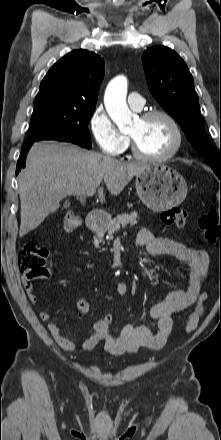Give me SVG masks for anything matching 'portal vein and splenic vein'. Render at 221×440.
Returning <instances> with one entry per match:
<instances>
[{"label":"portal vein and splenic vein","mask_w":221,"mask_h":440,"mask_svg":"<svg viewBox=\"0 0 221 440\" xmlns=\"http://www.w3.org/2000/svg\"><path fill=\"white\" fill-rule=\"evenodd\" d=\"M95 193V190L92 189L86 193V196H92Z\"/></svg>","instance_id":"obj_1"}]
</instances>
